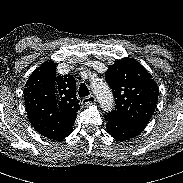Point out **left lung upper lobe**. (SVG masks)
<instances>
[{"instance_id": "obj_1", "label": "left lung upper lobe", "mask_w": 183, "mask_h": 183, "mask_svg": "<svg viewBox=\"0 0 183 183\" xmlns=\"http://www.w3.org/2000/svg\"><path fill=\"white\" fill-rule=\"evenodd\" d=\"M105 78L116 104L107 115L145 127L154 113L159 93L150 73L136 60L123 58L108 67Z\"/></svg>"}]
</instances>
